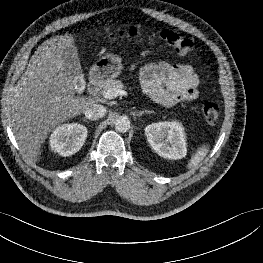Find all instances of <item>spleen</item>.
Returning <instances> with one entry per match:
<instances>
[{
    "label": "spleen",
    "mask_w": 263,
    "mask_h": 263,
    "mask_svg": "<svg viewBox=\"0 0 263 263\" xmlns=\"http://www.w3.org/2000/svg\"><path fill=\"white\" fill-rule=\"evenodd\" d=\"M209 149L208 146L203 145L200 148L197 149V151L192 155L189 163L188 168L192 169L196 167L203 159L206 157Z\"/></svg>",
    "instance_id": "spleen-1"
}]
</instances>
